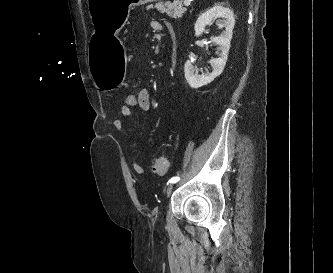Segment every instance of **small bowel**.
Returning a JSON list of instances; mask_svg holds the SVG:
<instances>
[{"mask_svg":"<svg viewBox=\"0 0 333 273\" xmlns=\"http://www.w3.org/2000/svg\"><path fill=\"white\" fill-rule=\"evenodd\" d=\"M152 27L155 30L162 31L165 29V24L160 20H154L152 22ZM137 95L138 100L136 102L138 103V107L145 112L150 111L151 99L149 90L147 88H142ZM119 116L121 118H136V115L133 113L132 109H123L122 107L119 110ZM121 118L116 119L113 122V126L116 130H121L124 127V121ZM130 166L136 174L142 175L144 173V168L142 164L134 157L130 159Z\"/></svg>","mask_w":333,"mask_h":273,"instance_id":"c3829d8e","label":"small bowel"}]
</instances>
